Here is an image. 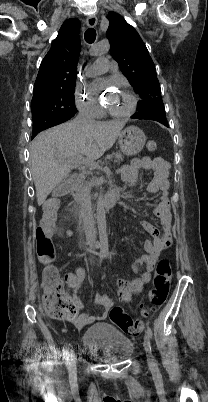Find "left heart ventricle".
Segmentation results:
<instances>
[{"label": "left heart ventricle", "mask_w": 208, "mask_h": 402, "mask_svg": "<svg viewBox=\"0 0 208 402\" xmlns=\"http://www.w3.org/2000/svg\"><path fill=\"white\" fill-rule=\"evenodd\" d=\"M93 95H96V89L92 88ZM108 103L116 110H127L131 105V98L130 96L121 91L117 95L109 96L107 99Z\"/></svg>", "instance_id": "left-heart-ventricle-1"}]
</instances>
